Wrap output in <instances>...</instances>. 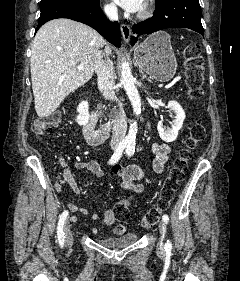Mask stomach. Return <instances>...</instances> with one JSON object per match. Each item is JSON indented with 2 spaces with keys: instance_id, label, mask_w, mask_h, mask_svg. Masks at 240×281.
Returning a JSON list of instances; mask_svg holds the SVG:
<instances>
[{
  "instance_id": "stomach-1",
  "label": "stomach",
  "mask_w": 240,
  "mask_h": 281,
  "mask_svg": "<svg viewBox=\"0 0 240 281\" xmlns=\"http://www.w3.org/2000/svg\"><path fill=\"white\" fill-rule=\"evenodd\" d=\"M134 58L140 69L160 82L171 80L176 73L177 61L166 32L147 37L134 49Z\"/></svg>"
}]
</instances>
